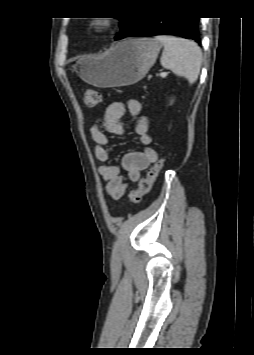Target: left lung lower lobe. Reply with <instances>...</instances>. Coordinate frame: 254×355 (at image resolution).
I'll use <instances>...</instances> for the list:
<instances>
[{"instance_id":"obj_1","label":"left lung lower lobe","mask_w":254,"mask_h":355,"mask_svg":"<svg viewBox=\"0 0 254 355\" xmlns=\"http://www.w3.org/2000/svg\"><path fill=\"white\" fill-rule=\"evenodd\" d=\"M153 35H176L201 44L199 18H136L134 26L121 38Z\"/></svg>"}]
</instances>
